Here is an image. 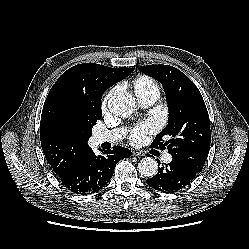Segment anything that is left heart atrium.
<instances>
[{
  "instance_id": "left-heart-atrium-1",
  "label": "left heart atrium",
  "mask_w": 249,
  "mask_h": 249,
  "mask_svg": "<svg viewBox=\"0 0 249 249\" xmlns=\"http://www.w3.org/2000/svg\"><path fill=\"white\" fill-rule=\"evenodd\" d=\"M157 125L153 121H145L135 125L130 132V142L134 145H142L146 142L148 135L156 131Z\"/></svg>"
}]
</instances>
